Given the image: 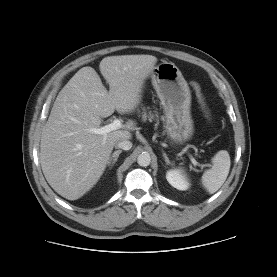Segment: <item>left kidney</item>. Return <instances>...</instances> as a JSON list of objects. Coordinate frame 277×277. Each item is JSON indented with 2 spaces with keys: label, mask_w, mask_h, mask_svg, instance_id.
I'll list each match as a JSON object with an SVG mask.
<instances>
[{
  "label": "left kidney",
  "mask_w": 277,
  "mask_h": 277,
  "mask_svg": "<svg viewBox=\"0 0 277 277\" xmlns=\"http://www.w3.org/2000/svg\"><path fill=\"white\" fill-rule=\"evenodd\" d=\"M166 179L171 186L178 190L185 191L189 188V183L181 169H171L167 171Z\"/></svg>",
  "instance_id": "obj_1"
}]
</instances>
